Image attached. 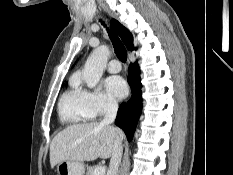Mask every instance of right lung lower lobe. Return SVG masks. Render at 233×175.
<instances>
[{"instance_id":"1","label":"right lung lower lobe","mask_w":233,"mask_h":175,"mask_svg":"<svg viewBox=\"0 0 233 175\" xmlns=\"http://www.w3.org/2000/svg\"><path fill=\"white\" fill-rule=\"evenodd\" d=\"M128 82L132 97L120 105L115 123L125 132L128 141H131L142 110L140 70L137 63L130 64Z\"/></svg>"}]
</instances>
